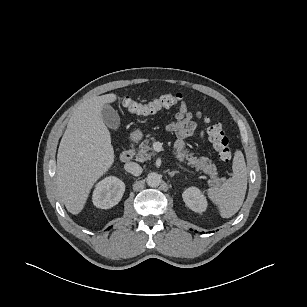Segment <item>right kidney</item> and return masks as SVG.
<instances>
[{
    "label": "right kidney",
    "instance_id": "obj_1",
    "mask_svg": "<svg viewBox=\"0 0 307 307\" xmlns=\"http://www.w3.org/2000/svg\"><path fill=\"white\" fill-rule=\"evenodd\" d=\"M125 192V184L115 176L101 180L93 192V204L100 209H109L118 204Z\"/></svg>",
    "mask_w": 307,
    "mask_h": 307
}]
</instances>
